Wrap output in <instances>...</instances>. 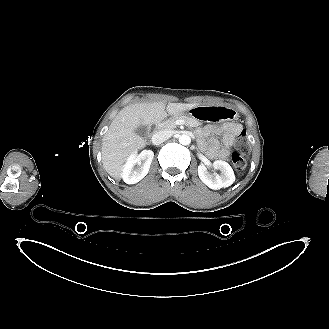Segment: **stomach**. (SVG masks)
I'll list each match as a JSON object with an SVG mask.
<instances>
[{
    "mask_svg": "<svg viewBox=\"0 0 329 329\" xmlns=\"http://www.w3.org/2000/svg\"><path fill=\"white\" fill-rule=\"evenodd\" d=\"M180 115H188L196 120L202 122L219 123L224 120H234L236 118V111L225 105L219 106H196L190 110L181 112Z\"/></svg>",
    "mask_w": 329,
    "mask_h": 329,
    "instance_id": "1",
    "label": "stomach"
}]
</instances>
